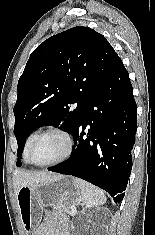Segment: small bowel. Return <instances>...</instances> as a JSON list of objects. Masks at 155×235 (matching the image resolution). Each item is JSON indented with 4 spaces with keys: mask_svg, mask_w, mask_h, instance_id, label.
<instances>
[{
    "mask_svg": "<svg viewBox=\"0 0 155 235\" xmlns=\"http://www.w3.org/2000/svg\"><path fill=\"white\" fill-rule=\"evenodd\" d=\"M42 235H69L66 227V220L61 216L48 218L40 227Z\"/></svg>",
    "mask_w": 155,
    "mask_h": 235,
    "instance_id": "obj_1",
    "label": "small bowel"
}]
</instances>
